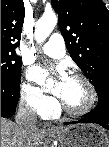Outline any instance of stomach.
<instances>
[{
	"label": "stomach",
	"instance_id": "obj_1",
	"mask_svg": "<svg viewBox=\"0 0 109 147\" xmlns=\"http://www.w3.org/2000/svg\"><path fill=\"white\" fill-rule=\"evenodd\" d=\"M54 136L61 147H109V135L94 124H73L59 127Z\"/></svg>",
	"mask_w": 109,
	"mask_h": 147
}]
</instances>
